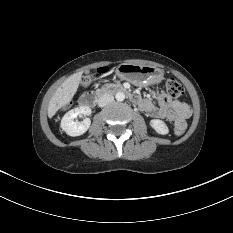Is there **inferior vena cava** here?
<instances>
[{
	"label": "inferior vena cava",
	"instance_id": "inferior-vena-cava-1",
	"mask_svg": "<svg viewBox=\"0 0 233 233\" xmlns=\"http://www.w3.org/2000/svg\"><path fill=\"white\" fill-rule=\"evenodd\" d=\"M114 100V97L113 95H110V94H104L102 95L99 100H98V106L99 107H104L108 104H110L111 102H113Z\"/></svg>",
	"mask_w": 233,
	"mask_h": 233
}]
</instances>
